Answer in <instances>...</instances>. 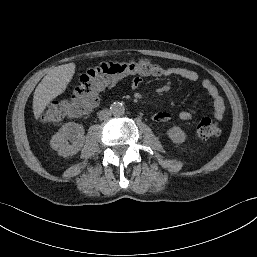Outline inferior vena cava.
Here are the masks:
<instances>
[{
  "label": "inferior vena cava",
  "instance_id": "1",
  "mask_svg": "<svg viewBox=\"0 0 257 257\" xmlns=\"http://www.w3.org/2000/svg\"><path fill=\"white\" fill-rule=\"evenodd\" d=\"M100 120L108 119L111 116V111L109 109H103L98 113Z\"/></svg>",
  "mask_w": 257,
  "mask_h": 257
}]
</instances>
